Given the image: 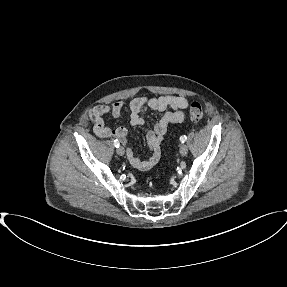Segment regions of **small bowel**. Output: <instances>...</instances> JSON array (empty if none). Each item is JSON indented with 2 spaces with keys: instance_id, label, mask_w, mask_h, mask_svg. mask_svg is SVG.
<instances>
[{
  "instance_id": "small-bowel-1",
  "label": "small bowel",
  "mask_w": 287,
  "mask_h": 287,
  "mask_svg": "<svg viewBox=\"0 0 287 287\" xmlns=\"http://www.w3.org/2000/svg\"><path fill=\"white\" fill-rule=\"evenodd\" d=\"M188 101L182 96H156L147 98L139 96L134 98L129 105L122 101L110 105L103 104L93 108L90 119L93 122L94 133L100 138L114 137L122 142L127 149V159L130 164L141 171L152 168L160 158V146L166 135L168 125L182 122L184 119L183 110L187 107ZM147 109L164 112L153 129L147 133V143L150 148V155L146 160L136 157L129 146L128 130L125 127H109L104 123L103 116L109 114L118 118L123 112L130 114V122L133 126L145 124L141 114Z\"/></svg>"
}]
</instances>
